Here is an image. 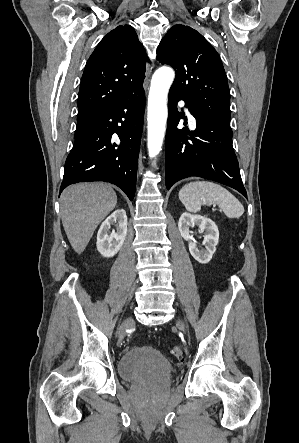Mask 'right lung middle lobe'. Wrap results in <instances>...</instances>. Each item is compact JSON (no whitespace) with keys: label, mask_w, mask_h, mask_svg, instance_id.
Masks as SVG:
<instances>
[{"label":"right lung middle lobe","mask_w":299,"mask_h":443,"mask_svg":"<svg viewBox=\"0 0 299 443\" xmlns=\"http://www.w3.org/2000/svg\"><path fill=\"white\" fill-rule=\"evenodd\" d=\"M88 124H89V121L77 123L75 138H77L84 131V129L87 127Z\"/></svg>","instance_id":"dd1d6c3e"}]
</instances>
